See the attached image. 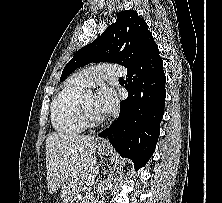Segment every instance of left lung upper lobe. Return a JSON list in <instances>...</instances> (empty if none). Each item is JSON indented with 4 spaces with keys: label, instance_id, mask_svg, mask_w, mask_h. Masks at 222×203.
<instances>
[{
    "label": "left lung upper lobe",
    "instance_id": "5c2ea615",
    "mask_svg": "<svg viewBox=\"0 0 222 203\" xmlns=\"http://www.w3.org/2000/svg\"><path fill=\"white\" fill-rule=\"evenodd\" d=\"M150 34L146 22L134 10L120 12L116 22L100 37L75 53L64 67L60 81L91 62H112L128 69L140 56Z\"/></svg>",
    "mask_w": 222,
    "mask_h": 203
}]
</instances>
